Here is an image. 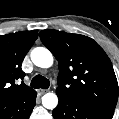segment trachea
I'll return each mask as SVG.
<instances>
[{
	"instance_id": "1",
	"label": "trachea",
	"mask_w": 119,
	"mask_h": 119,
	"mask_svg": "<svg viewBox=\"0 0 119 119\" xmlns=\"http://www.w3.org/2000/svg\"><path fill=\"white\" fill-rule=\"evenodd\" d=\"M49 85H50L49 80L41 75H36L31 81V87L35 89L38 88L47 89Z\"/></svg>"
}]
</instances>
